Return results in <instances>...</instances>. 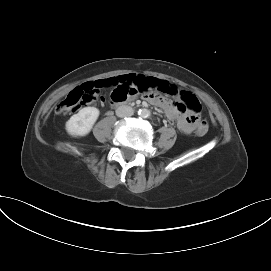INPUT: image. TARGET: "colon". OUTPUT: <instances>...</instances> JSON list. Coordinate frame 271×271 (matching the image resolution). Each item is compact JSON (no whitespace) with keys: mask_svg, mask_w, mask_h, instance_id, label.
Instances as JSON below:
<instances>
[{"mask_svg":"<svg viewBox=\"0 0 271 271\" xmlns=\"http://www.w3.org/2000/svg\"><path fill=\"white\" fill-rule=\"evenodd\" d=\"M97 94L96 90L91 87H77L73 89L58 105V113H69L76 109L91 103ZM181 103H178V108L181 111L189 110L195 121L196 133L203 136L208 131V122L204 116L200 114V103L195 96L189 92L181 93Z\"/></svg>","mask_w":271,"mask_h":271,"instance_id":"1","label":"colon"}]
</instances>
